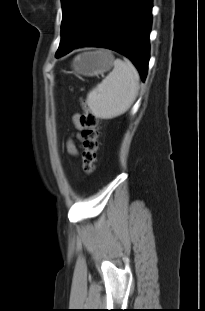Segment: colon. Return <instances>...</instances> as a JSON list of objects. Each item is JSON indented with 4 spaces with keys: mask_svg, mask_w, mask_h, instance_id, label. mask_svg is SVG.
Wrapping results in <instances>:
<instances>
[{
    "mask_svg": "<svg viewBox=\"0 0 205 311\" xmlns=\"http://www.w3.org/2000/svg\"><path fill=\"white\" fill-rule=\"evenodd\" d=\"M81 138L83 144L82 162L83 170L90 175L95 171L97 153L99 148V117L83 102V112L80 115Z\"/></svg>",
    "mask_w": 205,
    "mask_h": 311,
    "instance_id": "colon-1",
    "label": "colon"
}]
</instances>
